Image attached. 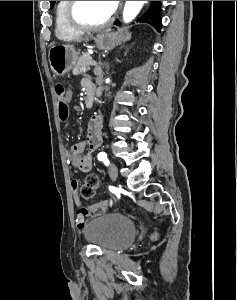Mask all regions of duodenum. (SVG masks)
I'll return each mask as SVG.
<instances>
[{"instance_id": "duodenum-1", "label": "duodenum", "mask_w": 237, "mask_h": 300, "mask_svg": "<svg viewBox=\"0 0 237 300\" xmlns=\"http://www.w3.org/2000/svg\"><path fill=\"white\" fill-rule=\"evenodd\" d=\"M93 103V91L92 90H87L86 91V96L84 100L85 107H90Z\"/></svg>"}]
</instances>
